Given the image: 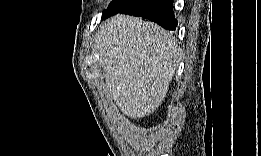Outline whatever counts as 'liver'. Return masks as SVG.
<instances>
[{
    "mask_svg": "<svg viewBox=\"0 0 261 156\" xmlns=\"http://www.w3.org/2000/svg\"><path fill=\"white\" fill-rule=\"evenodd\" d=\"M95 51L107 98L132 119L149 115L162 104L180 61L179 49L167 31L120 14L100 27Z\"/></svg>",
    "mask_w": 261,
    "mask_h": 156,
    "instance_id": "1",
    "label": "liver"
}]
</instances>
